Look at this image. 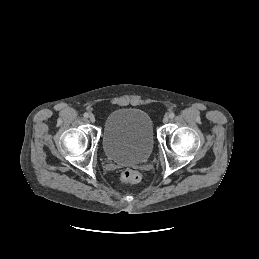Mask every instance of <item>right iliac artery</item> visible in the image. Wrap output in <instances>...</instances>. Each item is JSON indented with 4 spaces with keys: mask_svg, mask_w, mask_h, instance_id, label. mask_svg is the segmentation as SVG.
Returning <instances> with one entry per match:
<instances>
[{
    "mask_svg": "<svg viewBox=\"0 0 259 259\" xmlns=\"http://www.w3.org/2000/svg\"><path fill=\"white\" fill-rule=\"evenodd\" d=\"M84 117H85V118H88V117H89V114H88V113H84Z\"/></svg>",
    "mask_w": 259,
    "mask_h": 259,
    "instance_id": "82829eb1",
    "label": "right iliac artery"
}]
</instances>
